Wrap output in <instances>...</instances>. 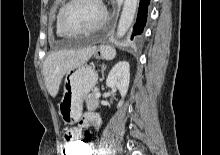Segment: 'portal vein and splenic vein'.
I'll list each match as a JSON object with an SVG mask.
<instances>
[{
  "instance_id": "1",
  "label": "portal vein and splenic vein",
  "mask_w": 220,
  "mask_h": 155,
  "mask_svg": "<svg viewBox=\"0 0 220 155\" xmlns=\"http://www.w3.org/2000/svg\"><path fill=\"white\" fill-rule=\"evenodd\" d=\"M95 97H96V98H99V97H100V92H96V93H95Z\"/></svg>"
}]
</instances>
